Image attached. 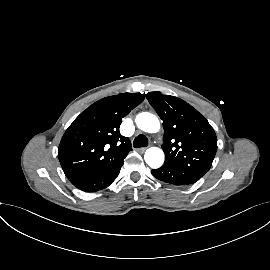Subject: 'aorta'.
Masks as SVG:
<instances>
[{"mask_svg": "<svg viewBox=\"0 0 270 270\" xmlns=\"http://www.w3.org/2000/svg\"><path fill=\"white\" fill-rule=\"evenodd\" d=\"M135 123L139 129L148 133H156L160 129L158 118L149 112L139 113L135 118ZM145 162L154 169L161 167L164 163V152L157 147L146 150L144 155Z\"/></svg>", "mask_w": 270, "mask_h": 270, "instance_id": "1", "label": "aorta"}]
</instances>
